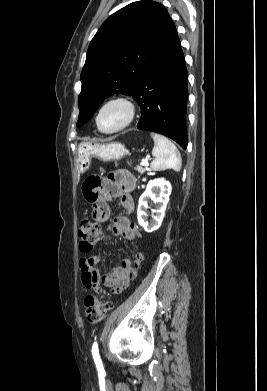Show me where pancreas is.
I'll return each mask as SVG.
<instances>
[{"instance_id": "cf45deb5", "label": "pancreas", "mask_w": 267, "mask_h": 391, "mask_svg": "<svg viewBox=\"0 0 267 391\" xmlns=\"http://www.w3.org/2000/svg\"><path fill=\"white\" fill-rule=\"evenodd\" d=\"M136 170L141 174L145 172V169L141 166H137Z\"/></svg>"}]
</instances>
